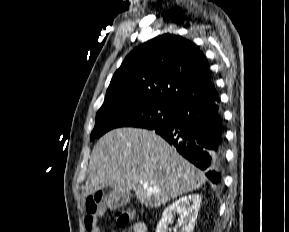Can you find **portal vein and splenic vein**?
Returning <instances> with one entry per match:
<instances>
[{
    "label": "portal vein and splenic vein",
    "mask_w": 289,
    "mask_h": 232,
    "mask_svg": "<svg viewBox=\"0 0 289 232\" xmlns=\"http://www.w3.org/2000/svg\"><path fill=\"white\" fill-rule=\"evenodd\" d=\"M142 187H143L144 189H147V190L152 191V188H149V186H148L147 184H145V183H142ZM155 191H159V190H155Z\"/></svg>",
    "instance_id": "obj_1"
}]
</instances>
